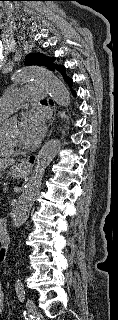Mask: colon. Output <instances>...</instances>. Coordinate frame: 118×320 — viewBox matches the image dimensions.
Listing matches in <instances>:
<instances>
[{"mask_svg":"<svg viewBox=\"0 0 118 320\" xmlns=\"http://www.w3.org/2000/svg\"><path fill=\"white\" fill-rule=\"evenodd\" d=\"M3 259H4V254L0 252V262L3 261Z\"/></svg>","mask_w":118,"mask_h":320,"instance_id":"colon-1","label":"colon"}]
</instances>
